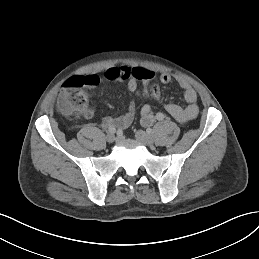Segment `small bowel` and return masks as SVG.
I'll return each instance as SVG.
<instances>
[{
  "mask_svg": "<svg viewBox=\"0 0 259 259\" xmlns=\"http://www.w3.org/2000/svg\"><path fill=\"white\" fill-rule=\"evenodd\" d=\"M105 76L111 81H125L127 83V88L129 91L134 92L137 90L138 83H149L153 77L154 73L143 67H110L106 70ZM88 81V87L94 88L99 84L100 78L97 74H92L85 77ZM172 77L168 73H163L160 76V82L167 84L171 81ZM178 85L183 89L184 100L187 102V106L181 107L174 103H165L163 105L164 110L172 116L179 123H187L195 119L199 114V107L196 104L197 93L189 85L187 81L182 78H177ZM157 86V85H155ZM160 99V95L156 97ZM94 113L93 108H89L86 111L87 116H91ZM135 116V106L133 103L129 105L127 112L119 117H106L104 118L102 125L104 127H117L120 129L127 128L133 121ZM153 112L149 105H144L141 108V123L145 126L152 124L153 122Z\"/></svg>",
  "mask_w": 259,
  "mask_h": 259,
  "instance_id": "small-bowel-1",
  "label": "small bowel"
}]
</instances>
